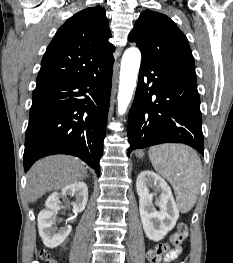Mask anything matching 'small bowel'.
Masks as SVG:
<instances>
[{"label": "small bowel", "mask_w": 233, "mask_h": 263, "mask_svg": "<svg viewBox=\"0 0 233 263\" xmlns=\"http://www.w3.org/2000/svg\"><path fill=\"white\" fill-rule=\"evenodd\" d=\"M181 252V248H175L169 251L164 258L165 263H170L171 261L177 259L180 256Z\"/></svg>", "instance_id": "small-bowel-1"}]
</instances>
